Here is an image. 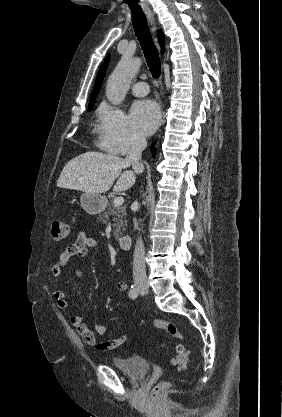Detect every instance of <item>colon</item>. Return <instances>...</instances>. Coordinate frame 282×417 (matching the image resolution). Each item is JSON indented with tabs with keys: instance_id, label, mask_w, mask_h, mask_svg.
I'll return each instance as SVG.
<instances>
[{
	"instance_id": "1",
	"label": "colon",
	"mask_w": 282,
	"mask_h": 417,
	"mask_svg": "<svg viewBox=\"0 0 282 417\" xmlns=\"http://www.w3.org/2000/svg\"><path fill=\"white\" fill-rule=\"evenodd\" d=\"M51 235L55 239H65L69 235V225L68 222L64 218H57L52 221L51 224ZM152 327L156 330H163L168 332L171 336L179 339H184L185 335L180 330V328L173 322L165 320V319H154L152 322ZM188 352L189 350H184L183 345L177 346V354L174 359V363L179 371H186L187 370V363L188 360ZM168 386V381L166 379H161L159 381L158 389H153L151 391L152 401L154 403H161L163 401L162 392L166 391V387Z\"/></svg>"
}]
</instances>
